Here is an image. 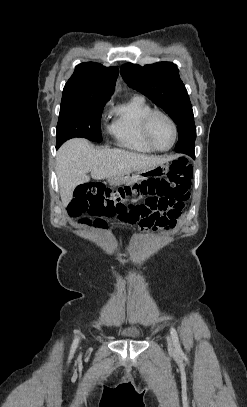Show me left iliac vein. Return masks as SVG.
<instances>
[{
	"label": "left iliac vein",
	"instance_id": "1",
	"mask_svg": "<svg viewBox=\"0 0 247 407\" xmlns=\"http://www.w3.org/2000/svg\"><path fill=\"white\" fill-rule=\"evenodd\" d=\"M167 343H168L169 348L173 349L174 345H173V341L170 336H167Z\"/></svg>",
	"mask_w": 247,
	"mask_h": 407
}]
</instances>
